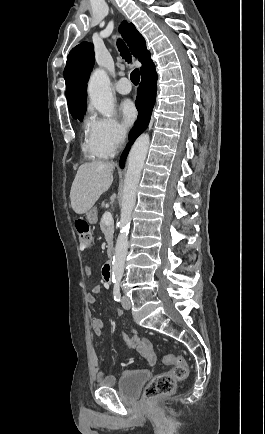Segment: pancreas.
<instances>
[{
    "instance_id": "cf45deb5",
    "label": "pancreas",
    "mask_w": 265,
    "mask_h": 434,
    "mask_svg": "<svg viewBox=\"0 0 265 434\" xmlns=\"http://www.w3.org/2000/svg\"><path fill=\"white\" fill-rule=\"evenodd\" d=\"M100 230L102 234H104L106 238V242L108 244V256H110L113 248V234H114V226L113 224H110V226H107L105 222H100Z\"/></svg>"
}]
</instances>
